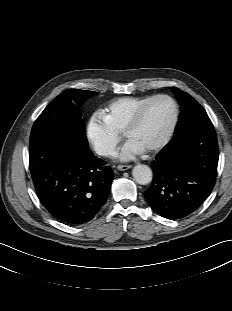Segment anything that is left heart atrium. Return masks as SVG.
Masks as SVG:
<instances>
[{
	"instance_id": "left-heart-atrium-1",
	"label": "left heart atrium",
	"mask_w": 232,
	"mask_h": 311,
	"mask_svg": "<svg viewBox=\"0 0 232 311\" xmlns=\"http://www.w3.org/2000/svg\"><path fill=\"white\" fill-rule=\"evenodd\" d=\"M145 149L133 140H128L119 152V158L127 161L143 153Z\"/></svg>"
}]
</instances>
